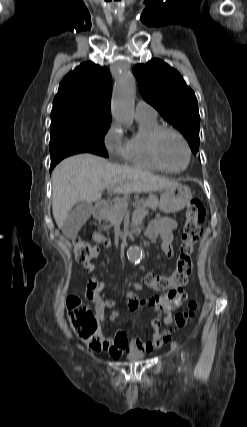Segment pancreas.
<instances>
[{"label": "pancreas", "mask_w": 247, "mask_h": 427, "mask_svg": "<svg viewBox=\"0 0 247 427\" xmlns=\"http://www.w3.org/2000/svg\"><path fill=\"white\" fill-rule=\"evenodd\" d=\"M144 208L156 209L159 206L158 198L155 195L149 197L143 202L139 203ZM128 206V198H120L111 203L105 210L104 219L113 225L118 224L125 214Z\"/></svg>", "instance_id": "cf45deb5"}]
</instances>
